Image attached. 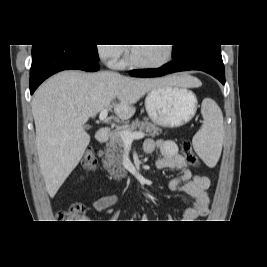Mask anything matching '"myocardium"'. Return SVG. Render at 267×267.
Segmentation results:
<instances>
[{
	"label": "myocardium",
	"mask_w": 267,
	"mask_h": 267,
	"mask_svg": "<svg viewBox=\"0 0 267 267\" xmlns=\"http://www.w3.org/2000/svg\"><path fill=\"white\" fill-rule=\"evenodd\" d=\"M166 48H167V54L166 57L159 62L156 63H141V62H137L132 54L131 48H129L128 53H127V58L126 61L127 63L135 68H140V69H155V68H160L162 66H165L166 64H168L172 57H173V46H171V44H166Z\"/></svg>",
	"instance_id": "obj_1"
}]
</instances>
